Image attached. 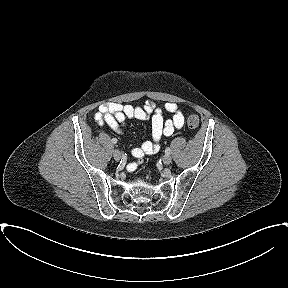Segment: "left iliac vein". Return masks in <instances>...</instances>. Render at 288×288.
I'll return each instance as SVG.
<instances>
[{"instance_id": "4c4485c4", "label": "left iliac vein", "mask_w": 288, "mask_h": 288, "mask_svg": "<svg viewBox=\"0 0 288 288\" xmlns=\"http://www.w3.org/2000/svg\"><path fill=\"white\" fill-rule=\"evenodd\" d=\"M171 161H172V159H171V156H170V155H165V156L163 157V163H164L165 165H169V164L171 163Z\"/></svg>"}]
</instances>
